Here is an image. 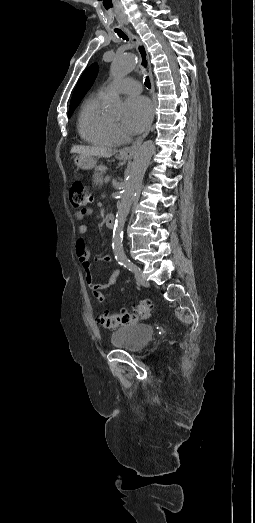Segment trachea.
<instances>
[{
  "instance_id": "1",
  "label": "trachea",
  "mask_w": 255,
  "mask_h": 523,
  "mask_svg": "<svg viewBox=\"0 0 255 523\" xmlns=\"http://www.w3.org/2000/svg\"><path fill=\"white\" fill-rule=\"evenodd\" d=\"M114 31L117 33V35L122 38L123 40H129V38L127 37V35L122 32V30H120L119 28H115ZM145 85L147 88H151V83H150V79L149 77H146L145 79Z\"/></svg>"
}]
</instances>
